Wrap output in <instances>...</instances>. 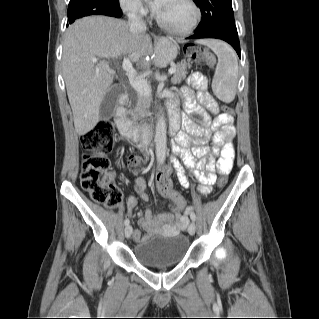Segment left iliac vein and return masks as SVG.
Segmentation results:
<instances>
[{
	"mask_svg": "<svg viewBox=\"0 0 319 319\" xmlns=\"http://www.w3.org/2000/svg\"><path fill=\"white\" fill-rule=\"evenodd\" d=\"M195 231H196V226H195V223H190V225L188 226V233L190 235H194L195 234Z\"/></svg>",
	"mask_w": 319,
	"mask_h": 319,
	"instance_id": "1",
	"label": "left iliac vein"
}]
</instances>
